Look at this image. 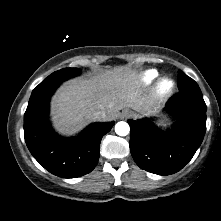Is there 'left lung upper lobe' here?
<instances>
[{"label":"left lung upper lobe","mask_w":221,"mask_h":221,"mask_svg":"<svg viewBox=\"0 0 221 221\" xmlns=\"http://www.w3.org/2000/svg\"><path fill=\"white\" fill-rule=\"evenodd\" d=\"M178 89L179 92H184V91L201 92L198 84L181 70L178 71Z\"/></svg>","instance_id":"1"}]
</instances>
